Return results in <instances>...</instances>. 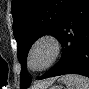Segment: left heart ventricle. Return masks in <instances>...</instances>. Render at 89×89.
Instances as JSON below:
<instances>
[{
	"instance_id": "left-heart-ventricle-1",
	"label": "left heart ventricle",
	"mask_w": 89,
	"mask_h": 89,
	"mask_svg": "<svg viewBox=\"0 0 89 89\" xmlns=\"http://www.w3.org/2000/svg\"><path fill=\"white\" fill-rule=\"evenodd\" d=\"M52 48L48 43L38 45L31 55V65L33 68L43 67L50 59Z\"/></svg>"
}]
</instances>
